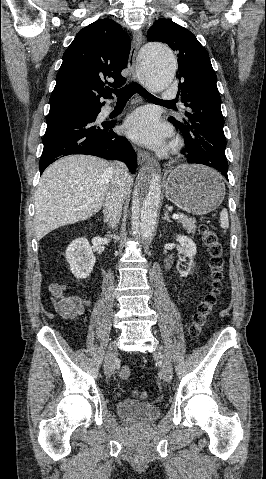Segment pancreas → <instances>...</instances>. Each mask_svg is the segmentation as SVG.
<instances>
[{
    "mask_svg": "<svg viewBox=\"0 0 266 479\" xmlns=\"http://www.w3.org/2000/svg\"><path fill=\"white\" fill-rule=\"evenodd\" d=\"M179 215V219H177V222L178 223H181L183 228L190 234H194L195 233V229H196V220L195 219H192V218H189L188 216L182 214V213H178Z\"/></svg>",
    "mask_w": 266,
    "mask_h": 479,
    "instance_id": "obj_1",
    "label": "pancreas"
}]
</instances>
